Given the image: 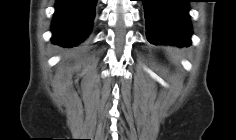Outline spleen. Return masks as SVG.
<instances>
[{"label":"spleen","mask_w":236,"mask_h":140,"mask_svg":"<svg viewBox=\"0 0 236 140\" xmlns=\"http://www.w3.org/2000/svg\"><path fill=\"white\" fill-rule=\"evenodd\" d=\"M168 52L171 56V60L175 63V64H179L180 59L183 56V52L177 48H169Z\"/></svg>","instance_id":"obj_1"}]
</instances>
